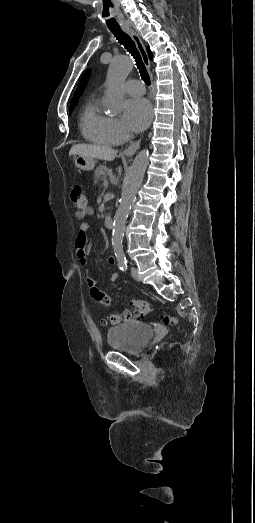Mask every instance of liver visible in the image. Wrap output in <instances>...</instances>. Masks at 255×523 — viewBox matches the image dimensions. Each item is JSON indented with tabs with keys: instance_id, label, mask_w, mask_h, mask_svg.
<instances>
[{
	"instance_id": "1",
	"label": "liver",
	"mask_w": 255,
	"mask_h": 523,
	"mask_svg": "<svg viewBox=\"0 0 255 523\" xmlns=\"http://www.w3.org/2000/svg\"><path fill=\"white\" fill-rule=\"evenodd\" d=\"M69 156H83V158H97L112 162L117 156L116 150L104 148V146H92V144H76L72 146Z\"/></svg>"
}]
</instances>
